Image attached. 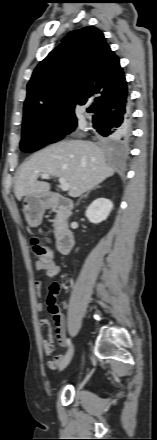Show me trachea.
Here are the masks:
<instances>
[{
    "label": "trachea",
    "instance_id": "trachea-1",
    "mask_svg": "<svg viewBox=\"0 0 157 440\" xmlns=\"http://www.w3.org/2000/svg\"><path fill=\"white\" fill-rule=\"evenodd\" d=\"M87 111H88V112H92V111H94V109H93V107H89V108L87 109Z\"/></svg>",
    "mask_w": 157,
    "mask_h": 440
}]
</instances>
